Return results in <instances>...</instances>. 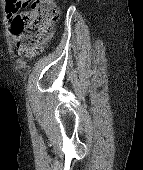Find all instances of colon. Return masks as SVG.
I'll return each mask as SVG.
<instances>
[{
	"label": "colon",
	"mask_w": 143,
	"mask_h": 170,
	"mask_svg": "<svg viewBox=\"0 0 143 170\" xmlns=\"http://www.w3.org/2000/svg\"><path fill=\"white\" fill-rule=\"evenodd\" d=\"M5 0L6 11L12 14L10 4ZM58 18V6L55 0H33L31 10L14 16L13 31L20 33L18 42L21 55L31 58L42 51L53 33V23Z\"/></svg>",
	"instance_id": "1"
}]
</instances>
